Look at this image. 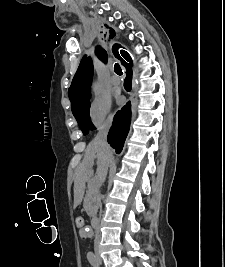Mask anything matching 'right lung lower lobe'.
Instances as JSON below:
<instances>
[{"label":"right lung lower lobe","instance_id":"right-lung-lower-lobe-1","mask_svg":"<svg viewBox=\"0 0 225 267\" xmlns=\"http://www.w3.org/2000/svg\"><path fill=\"white\" fill-rule=\"evenodd\" d=\"M126 68L127 76L125 78V88L129 89L131 87V64ZM131 118V105L127 104L119 111L113 122V126L108 134V142L110 145L116 149L119 153L122 150L125 138L127 136Z\"/></svg>","mask_w":225,"mask_h":267}]
</instances>
